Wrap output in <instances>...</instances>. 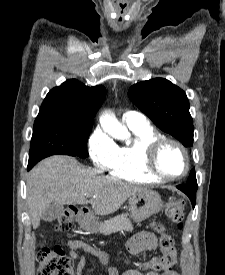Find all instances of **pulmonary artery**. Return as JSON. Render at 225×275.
<instances>
[{
    "instance_id": "pulmonary-artery-1",
    "label": "pulmonary artery",
    "mask_w": 225,
    "mask_h": 275,
    "mask_svg": "<svg viewBox=\"0 0 225 275\" xmlns=\"http://www.w3.org/2000/svg\"><path fill=\"white\" fill-rule=\"evenodd\" d=\"M122 119L128 126H140L148 124V120L145 115L136 111L125 112L122 116Z\"/></svg>"
}]
</instances>
